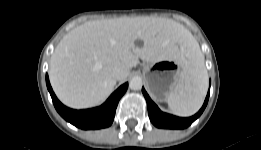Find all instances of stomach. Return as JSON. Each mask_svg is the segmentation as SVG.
Listing matches in <instances>:
<instances>
[{"mask_svg":"<svg viewBox=\"0 0 261 150\" xmlns=\"http://www.w3.org/2000/svg\"><path fill=\"white\" fill-rule=\"evenodd\" d=\"M183 69L182 63L177 59L145 64L143 74L151 96L159 102L167 100L179 83Z\"/></svg>","mask_w":261,"mask_h":150,"instance_id":"obj_1","label":"stomach"}]
</instances>
